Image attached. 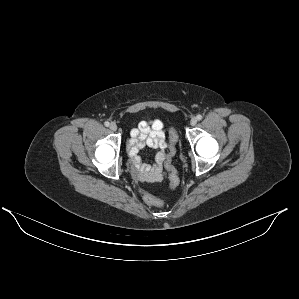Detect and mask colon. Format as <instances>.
<instances>
[{"label": "colon", "mask_w": 299, "mask_h": 299, "mask_svg": "<svg viewBox=\"0 0 299 299\" xmlns=\"http://www.w3.org/2000/svg\"><path fill=\"white\" fill-rule=\"evenodd\" d=\"M176 140H177L176 133H175V131H172L171 135H170L171 148H170L169 158H171L174 153L173 145L175 144ZM170 179H171L170 188L171 189L176 188L178 186V177H177L176 172L172 168H171ZM144 201L148 205H150L152 207H157V208H161L165 205V203L161 199H159L154 194L149 193V192L144 194Z\"/></svg>", "instance_id": "5ec220e1"}]
</instances>
